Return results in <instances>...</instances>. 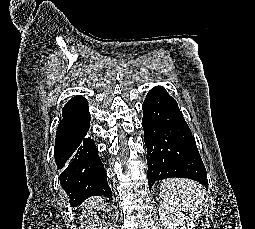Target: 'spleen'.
I'll use <instances>...</instances> for the list:
<instances>
[{"instance_id": "spleen-1", "label": "spleen", "mask_w": 255, "mask_h": 229, "mask_svg": "<svg viewBox=\"0 0 255 229\" xmlns=\"http://www.w3.org/2000/svg\"><path fill=\"white\" fill-rule=\"evenodd\" d=\"M160 196L166 203L189 212L192 218L199 217L203 206L204 191L198 182L183 178L165 179L161 184Z\"/></svg>"}]
</instances>
